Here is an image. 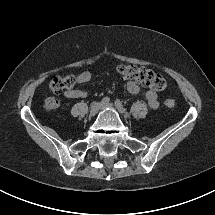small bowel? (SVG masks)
Listing matches in <instances>:
<instances>
[{
	"label": "small bowel",
	"instance_id": "small-bowel-1",
	"mask_svg": "<svg viewBox=\"0 0 215 215\" xmlns=\"http://www.w3.org/2000/svg\"><path fill=\"white\" fill-rule=\"evenodd\" d=\"M92 78V75L89 71H83L77 76V81L79 84H85L89 82ZM127 90L131 94H137L139 92L138 84L130 80L127 82ZM65 97L68 99H76V98H85L87 97V92L81 89H71L67 90L64 93ZM145 98L150 108L156 109L159 106L157 93L153 90H148L145 94Z\"/></svg>",
	"mask_w": 215,
	"mask_h": 215
}]
</instances>
